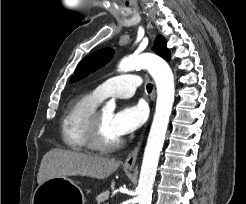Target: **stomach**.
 <instances>
[{
  "mask_svg": "<svg viewBox=\"0 0 246 204\" xmlns=\"http://www.w3.org/2000/svg\"><path fill=\"white\" fill-rule=\"evenodd\" d=\"M81 189L68 177H55L39 185L32 204H84Z\"/></svg>",
  "mask_w": 246,
  "mask_h": 204,
  "instance_id": "stomach-1",
  "label": "stomach"
}]
</instances>
